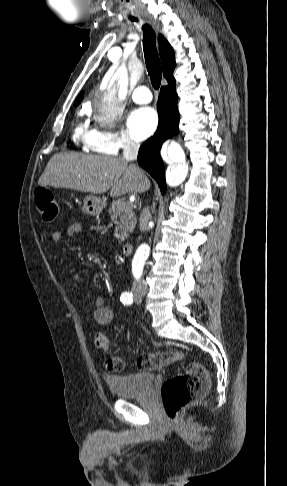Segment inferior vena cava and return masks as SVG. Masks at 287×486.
<instances>
[{
	"label": "inferior vena cava",
	"mask_w": 287,
	"mask_h": 486,
	"mask_svg": "<svg viewBox=\"0 0 287 486\" xmlns=\"http://www.w3.org/2000/svg\"><path fill=\"white\" fill-rule=\"evenodd\" d=\"M138 150H139V143L134 142L131 140L129 137H126L124 140V146H123V157L126 161H134L137 159L138 155ZM150 219V210L148 207L143 208L140 216V230L142 232H145L148 230V221ZM133 288L134 290L140 291H146L147 290V284L144 281L143 278L140 280L136 281L133 283Z\"/></svg>",
	"instance_id": "1"
}]
</instances>
